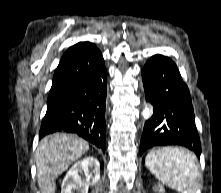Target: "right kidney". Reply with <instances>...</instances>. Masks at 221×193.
<instances>
[{
	"instance_id": "ca27d5eb",
	"label": "right kidney",
	"mask_w": 221,
	"mask_h": 193,
	"mask_svg": "<svg viewBox=\"0 0 221 193\" xmlns=\"http://www.w3.org/2000/svg\"><path fill=\"white\" fill-rule=\"evenodd\" d=\"M82 173L85 174V178L80 176ZM99 179V161L94 157H86L76 162L67 172L62 182L61 193H88L89 186L96 184Z\"/></svg>"
}]
</instances>
